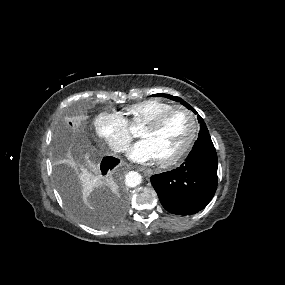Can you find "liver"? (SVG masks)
<instances>
[{
  "instance_id": "1",
  "label": "liver",
  "mask_w": 285,
  "mask_h": 285,
  "mask_svg": "<svg viewBox=\"0 0 285 285\" xmlns=\"http://www.w3.org/2000/svg\"><path fill=\"white\" fill-rule=\"evenodd\" d=\"M89 165H90L91 167H95V165H94L93 163H90V162H89ZM82 177H83L84 182H85L87 185L91 182V177H90L89 174H84Z\"/></svg>"
}]
</instances>
